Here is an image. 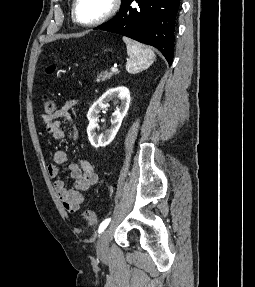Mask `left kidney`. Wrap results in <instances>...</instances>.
Listing matches in <instances>:
<instances>
[{"mask_svg": "<svg viewBox=\"0 0 255 287\" xmlns=\"http://www.w3.org/2000/svg\"><path fill=\"white\" fill-rule=\"evenodd\" d=\"M109 100H117L119 106H117L114 114H112L113 120H111V130H106L105 134H100V136H98L96 132V128H99L98 122H100L98 114L101 110L107 108ZM130 100V90L125 88V86H119V88L107 90L97 102H94L87 114L89 120L87 134L90 144L94 145V147H100V145L101 147H104V145H108L114 140L122 124V120L129 110Z\"/></svg>", "mask_w": 255, "mask_h": 287, "instance_id": "left-kidney-1", "label": "left kidney"}]
</instances>
